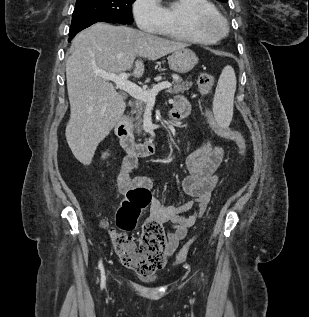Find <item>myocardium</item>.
Masks as SVG:
<instances>
[{
	"label": "myocardium",
	"instance_id": "f54148a6",
	"mask_svg": "<svg viewBox=\"0 0 309 317\" xmlns=\"http://www.w3.org/2000/svg\"><path fill=\"white\" fill-rule=\"evenodd\" d=\"M189 29L198 36L220 39L228 31L226 18L218 11L210 9L192 10L187 18Z\"/></svg>",
	"mask_w": 309,
	"mask_h": 317
}]
</instances>
